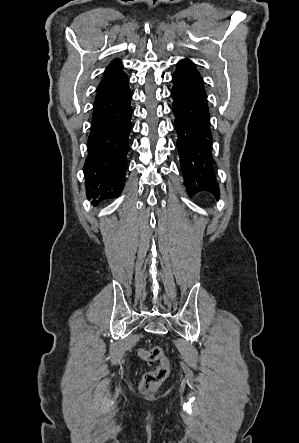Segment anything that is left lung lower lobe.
I'll return each instance as SVG.
<instances>
[{
  "instance_id": "1",
  "label": "left lung lower lobe",
  "mask_w": 299,
  "mask_h": 443,
  "mask_svg": "<svg viewBox=\"0 0 299 443\" xmlns=\"http://www.w3.org/2000/svg\"><path fill=\"white\" fill-rule=\"evenodd\" d=\"M173 112L178 134L177 148L189 196L206 191L219 197V186L210 153L209 109L203 79L187 60H181L173 75Z\"/></svg>"
}]
</instances>
